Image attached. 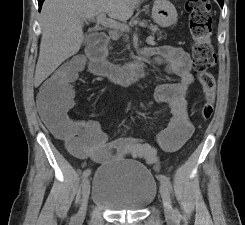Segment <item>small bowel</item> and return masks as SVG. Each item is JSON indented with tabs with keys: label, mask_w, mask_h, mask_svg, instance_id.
<instances>
[{
	"label": "small bowel",
	"mask_w": 245,
	"mask_h": 225,
	"mask_svg": "<svg viewBox=\"0 0 245 225\" xmlns=\"http://www.w3.org/2000/svg\"><path fill=\"white\" fill-rule=\"evenodd\" d=\"M156 64H164L166 72L178 77L176 83L157 86L154 98L159 103L167 104L171 118L166 128L156 136L155 141L165 152L178 151L192 136L194 125L187 114V96L194 82L192 60L189 53L181 47L157 46L146 50ZM79 61V68L83 60ZM66 65V62L61 64ZM37 103L45 121L65 122L64 114L74 106V90L70 89L66 98L56 104L37 92ZM76 130L75 146L70 148L74 156L81 160H92L99 164H108L118 158L143 159L147 164L158 169V160L154 146L142 138L118 137L109 139L97 120L68 121Z\"/></svg>",
	"instance_id": "c3829d8e"
}]
</instances>
